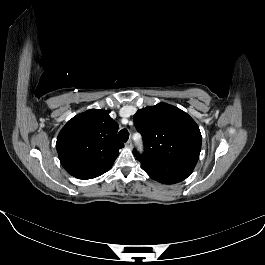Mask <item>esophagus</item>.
<instances>
[{
  "instance_id": "34e87169",
  "label": "esophagus",
  "mask_w": 265,
  "mask_h": 265,
  "mask_svg": "<svg viewBox=\"0 0 265 265\" xmlns=\"http://www.w3.org/2000/svg\"><path fill=\"white\" fill-rule=\"evenodd\" d=\"M126 146L132 148V141L130 139L126 142Z\"/></svg>"
}]
</instances>
